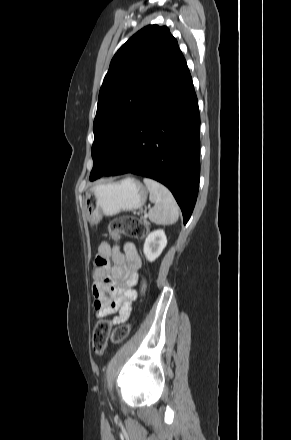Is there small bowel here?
Instances as JSON below:
<instances>
[{
	"mask_svg": "<svg viewBox=\"0 0 291 440\" xmlns=\"http://www.w3.org/2000/svg\"><path fill=\"white\" fill-rule=\"evenodd\" d=\"M140 258L132 242L124 250L102 241L97 249L92 273L94 309L98 318L118 312L113 324L124 323L130 316L132 304L137 299ZM108 292V295H106Z\"/></svg>",
	"mask_w": 291,
	"mask_h": 440,
	"instance_id": "small-bowel-1",
	"label": "small bowel"
}]
</instances>
